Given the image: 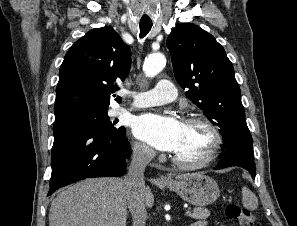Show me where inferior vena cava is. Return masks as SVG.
I'll return each mask as SVG.
<instances>
[{
    "mask_svg": "<svg viewBox=\"0 0 297 226\" xmlns=\"http://www.w3.org/2000/svg\"><path fill=\"white\" fill-rule=\"evenodd\" d=\"M154 150L145 145H136L128 172L124 177L126 200L132 215V226H145L147 212L144 204V171L154 157Z\"/></svg>",
    "mask_w": 297,
    "mask_h": 226,
    "instance_id": "1",
    "label": "inferior vena cava"
}]
</instances>
